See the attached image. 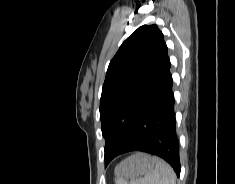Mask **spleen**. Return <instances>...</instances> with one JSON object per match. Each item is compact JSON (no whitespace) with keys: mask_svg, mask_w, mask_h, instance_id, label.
<instances>
[{"mask_svg":"<svg viewBox=\"0 0 235 184\" xmlns=\"http://www.w3.org/2000/svg\"><path fill=\"white\" fill-rule=\"evenodd\" d=\"M153 160L155 162V168L144 176V178H139V180H133V182H129V184H176V174L164 160L161 158H156L153 156ZM118 184H127L124 180H118Z\"/></svg>","mask_w":235,"mask_h":184,"instance_id":"3e777b00","label":"spleen"}]
</instances>
